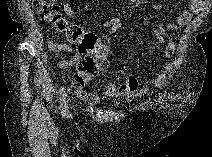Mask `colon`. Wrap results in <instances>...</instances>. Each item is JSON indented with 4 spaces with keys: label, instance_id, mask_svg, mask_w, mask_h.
<instances>
[{
    "label": "colon",
    "instance_id": "colon-1",
    "mask_svg": "<svg viewBox=\"0 0 212 157\" xmlns=\"http://www.w3.org/2000/svg\"><path fill=\"white\" fill-rule=\"evenodd\" d=\"M34 9L40 17L50 23L68 40L79 44V52L84 58L79 62L77 72L73 77L76 87H84L109 65L107 47L93 33H86L83 29L67 22L61 15L58 4L50 0H35Z\"/></svg>",
    "mask_w": 212,
    "mask_h": 157
}]
</instances>
